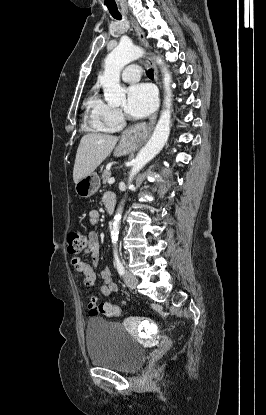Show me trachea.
Segmentation results:
<instances>
[{
  "label": "trachea",
  "instance_id": "obj_1",
  "mask_svg": "<svg viewBox=\"0 0 266 415\" xmlns=\"http://www.w3.org/2000/svg\"><path fill=\"white\" fill-rule=\"evenodd\" d=\"M115 19H117V20H121V16H113ZM146 74H147V76L149 77V78H153V76H154V73H153V70L152 69H149L147 72H146Z\"/></svg>",
  "mask_w": 266,
  "mask_h": 415
}]
</instances>
